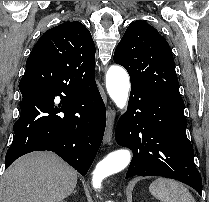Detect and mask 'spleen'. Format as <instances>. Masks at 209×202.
Wrapping results in <instances>:
<instances>
[{
    "mask_svg": "<svg viewBox=\"0 0 209 202\" xmlns=\"http://www.w3.org/2000/svg\"><path fill=\"white\" fill-rule=\"evenodd\" d=\"M149 191L162 202H195L189 190L172 179L157 178L150 184Z\"/></svg>",
    "mask_w": 209,
    "mask_h": 202,
    "instance_id": "1",
    "label": "spleen"
}]
</instances>
